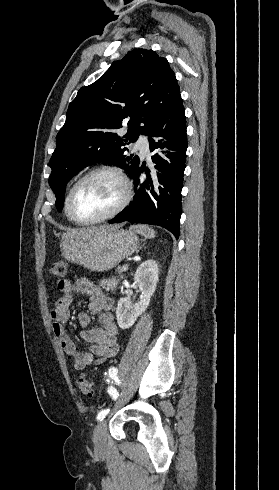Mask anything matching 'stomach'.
Instances as JSON below:
<instances>
[{"mask_svg": "<svg viewBox=\"0 0 279 490\" xmlns=\"http://www.w3.org/2000/svg\"><path fill=\"white\" fill-rule=\"evenodd\" d=\"M61 254L71 264L90 272H109L139 248V238L131 230H111L84 238L62 236Z\"/></svg>", "mask_w": 279, "mask_h": 490, "instance_id": "0dacf381", "label": "stomach"}]
</instances>
